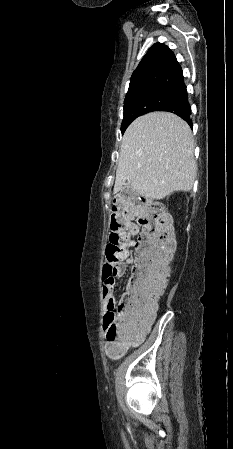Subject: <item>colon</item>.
I'll return each mask as SVG.
<instances>
[{
  "instance_id": "colon-1",
  "label": "colon",
  "mask_w": 233,
  "mask_h": 449,
  "mask_svg": "<svg viewBox=\"0 0 233 449\" xmlns=\"http://www.w3.org/2000/svg\"><path fill=\"white\" fill-rule=\"evenodd\" d=\"M111 235L106 247L105 272L130 254L134 218L142 231L136 244L135 264L123 301L104 317L107 348L116 357L134 342L139 325L157 311L158 299L164 291L169 262L174 252L170 219L163 203L135 193H123L114 203Z\"/></svg>"
}]
</instances>
